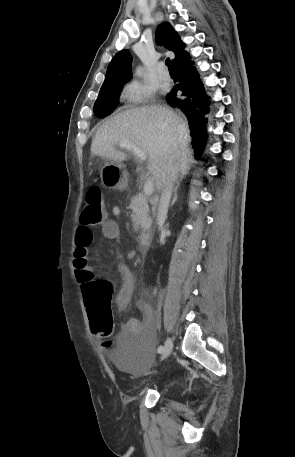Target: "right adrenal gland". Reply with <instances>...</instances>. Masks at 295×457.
Here are the masks:
<instances>
[{
	"instance_id": "obj_1",
	"label": "right adrenal gland",
	"mask_w": 295,
	"mask_h": 457,
	"mask_svg": "<svg viewBox=\"0 0 295 457\" xmlns=\"http://www.w3.org/2000/svg\"><path fill=\"white\" fill-rule=\"evenodd\" d=\"M183 178H184V176L181 175V176L179 177V180L176 182V186H175V189H174V196H173V199H172V201H171V203H170V206H173V205L175 204L177 198H178V196H177V190H178L179 185H180V182L182 181Z\"/></svg>"
}]
</instances>
